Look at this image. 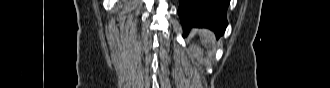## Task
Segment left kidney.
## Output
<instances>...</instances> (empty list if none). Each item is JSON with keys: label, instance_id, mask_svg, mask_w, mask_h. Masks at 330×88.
Masks as SVG:
<instances>
[{"label": "left kidney", "instance_id": "1", "mask_svg": "<svg viewBox=\"0 0 330 88\" xmlns=\"http://www.w3.org/2000/svg\"><path fill=\"white\" fill-rule=\"evenodd\" d=\"M194 57L199 61L200 63L204 65H208V61L203 58V50L198 47L197 45L192 46L191 48Z\"/></svg>", "mask_w": 330, "mask_h": 88}]
</instances>
